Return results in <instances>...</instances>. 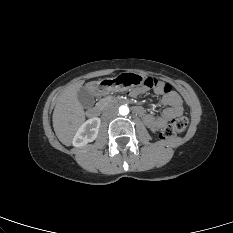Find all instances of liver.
<instances>
[{"instance_id":"obj_1","label":"liver","mask_w":233,"mask_h":233,"mask_svg":"<svg viewBox=\"0 0 233 233\" xmlns=\"http://www.w3.org/2000/svg\"><path fill=\"white\" fill-rule=\"evenodd\" d=\"M84 81H78L69 85L57 98V103L53 112V128L57 138L66 146L71 141L85 121V113L82 105L78 101L77 92L82 87ZM88 89L95 94L94 82L87 84Z\"/></svg>"}]
</instances>
